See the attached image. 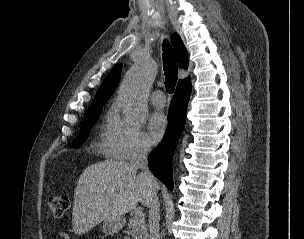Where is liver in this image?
Masks as SVG:
<instances>
[{"label":"liver","mask_w":304,"mask_h":239,"mask_svg":"<svg viewBox=\"0 0 304 239\" xmlns=\"http://www.w3.org/2000/svg\"><path fill=\"white\" fill-rule=\"evenodd\" d=\"M159 189L157 183L156 192ZM151 189L130 163L105 160L82 172L76 186L72 226L81 235L106 219L121 218L140 202L149 206Z\"/></svg>","instance_id":"liver-1"}]
</instances>
